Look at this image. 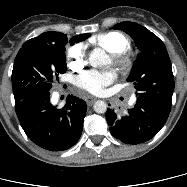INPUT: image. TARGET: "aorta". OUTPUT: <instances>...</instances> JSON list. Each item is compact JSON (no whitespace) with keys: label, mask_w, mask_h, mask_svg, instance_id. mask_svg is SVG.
Masks as SVG:
<instances>
[{"label":"aorta","mask_w":187,"mask_h":187,"mask_svg":"<svg viewBox=\"0 0 187 187\" xmlns=\"http://www.w3.org/2000/svg\"><path fill=\"white\" fill-rule=\"evenodd\" d=\"M108 61V55L100 48H95L89 55V62L92 66H106ZM93 109L96 113H105L107 111V104L102 100H98L94 103Z\"/></svg>","instance_id":"1"}]
</instances>
